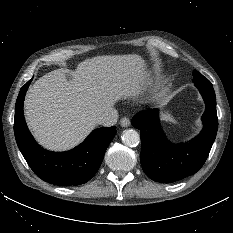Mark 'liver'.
Returning a JSON list of instances; mask_svg holds the SVG:
<instances>
[{
    "label": "liver",
    "instance_id": "obj_1",
    "mask_svg": "<svg viewBox=\"0 0 233 233\" xmlns=\"http://www.w3.org/2000/svg\"><path fill=\"white\" fill-rule=\"evenodd\" d=\"M57 69L39 78L24 101L27 124L50 150H68L96 127L97 118L119 100L141 94L151 84L137 54L86 59L71 71Z\"/></svg>",
    "mask_w": 233,
    "mask_h": 233
}]
</instances>
